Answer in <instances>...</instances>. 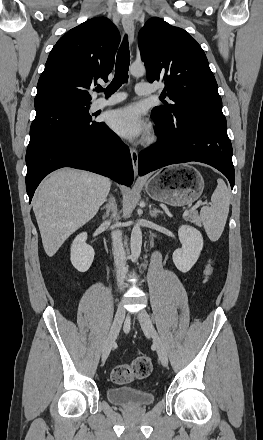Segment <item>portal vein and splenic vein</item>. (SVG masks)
I'll return each mask as SVG.
<instances>
[{"label": "portal vein and splenic vein", "instance_id": "obj_1", "mask_svg": "<svg viewBox=\"0 0 263 440\" xmlns=\"http://www.w3.org/2000/svg\"><path fill=\"white\" fill-rule=\"evenodd\" d=\"M204 204H206V203H205V202H202V201L197 202L194 206H192L190 209L186 210V211L183 213V217L188 216L191 212L195 211L197 208H199L200 206H202V205H204Z\"/></svg>", "mask_w": 263, "mask_h": 440}]
</instances>
